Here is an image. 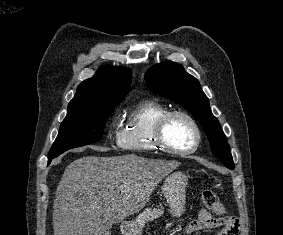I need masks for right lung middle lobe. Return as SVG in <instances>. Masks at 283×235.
<instances>
[{
    "label": "right lung middle lobe",
    "mask_w": 283,
    "mask_h": 235,
    "mask_svg": "<svg viewBox=\"0 0 283 235\" xmlns=\"http://www.w3.org/2000/svg\"><path fill=\"white\" fill-rule=\"evenodd\" d=\"M120 102L69 104L67 115L49 151L48 164L69 149L99 141L108 117Z\"/></svg>",
    "instance_id": "right-lung-middle-lobe-1"
}]
</instances>
